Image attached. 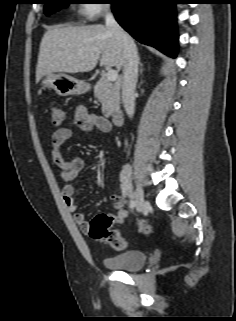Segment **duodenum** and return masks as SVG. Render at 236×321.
<instances>
[{"instance_id":"obj_1","label":"duodenum","mask_w":236,"mask_h":321,"mask_svg":"<svg viewBox=\"0 0 236 321\" xmlns=\"http://www.w3.org/2000/svg\"><path fill=\"white\" fill-rule=\"evenodd\" d=\"M111 121L115 126H121L124 121V113L122 111H114L111 116Z\"/></svg>"}]
</instances>
